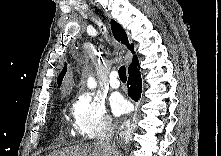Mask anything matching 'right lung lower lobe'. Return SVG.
I'll use <instances>...</instances> for the list:
<instances>
[{
    "label": "right lung lower lobe",
    "instance_id": "right-lung-lower-lobe-1",
    "mask_svg": "<svg viewBox=\"0 0 221 156\" xmlns=\"http://www.w3.org/2000/svg\"><path fill=\"white\" fill-rule=\"evenodd\" d=\"M129 78H128V95L135 101H138L141 97V75L139 72V65L130 67L128 69Z\"/></svg>",
    "mask_w": 221,
    "mask_h": 156
}]
</instances>
